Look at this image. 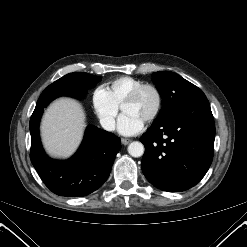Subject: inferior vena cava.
I'll use <instances>...</instances> for the list:
<instances>
[{"instance_id":"inferior-vena-cava-1","label":"inferior vena cava","mask_w":247,"mask_h":247,"mask_svg":"<svg viewBox=\"0 0 247 247\" xmlns=\"http://www.w3.org/2000/svg\"><path fill=\"white\" fill-rule=\"evenodd\" d=\"M100 124L107 131H114L115 130V120L112 117L101 118Z\"/></svg>"}]
</instances>
